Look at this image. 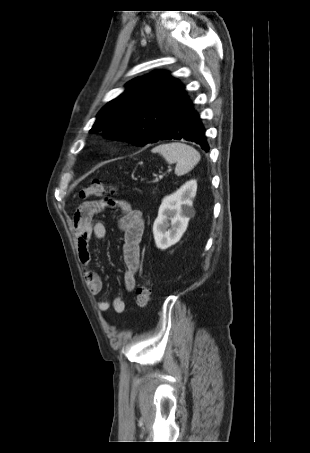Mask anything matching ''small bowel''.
I'll list each match as a JSON object with an SVG mask.
<instances>
[{
  "label": "small bowel",
  "instance_id": "small-bowel-1",
  "mask_svg": "<svg viewBox=\"0 0 310 453\" xmlns=\"http://www.w3.org/2000/svg\"><path fill=\"white\" fill-rule=\"evenodd\" d=\"M109 202L107 200H91L83 202L76 210L73 217V227L77 239L79 258L84 266V279L86 285L93 295L101 293L103 288L102 279L90 267L91 252L89 242L92 236L103 239L106 235V227L100 221H96L95 216L105 210ZM121 217L118 227L124 233L123 258L125 263L124 285L128 292L134 291L136 287L137 273L140 269V242L144 230V220L142 213L133 208L131 203L119 199L114 202ZM116 313H123L126 307L125 301L117 297L112 303L107 299L97 302V307L102 312H108L110 308Z\"/></svg>",
  "mask_w": 310,
  "mask_h": 453
}]
</instances>
